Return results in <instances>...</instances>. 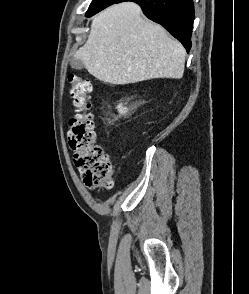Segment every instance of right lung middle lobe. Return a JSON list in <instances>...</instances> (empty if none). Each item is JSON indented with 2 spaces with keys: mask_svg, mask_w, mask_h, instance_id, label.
Here are the masks:
<instances>
[{
  "mask_svg": "<svg viewBox=\"0 0 249 294\" xmlns=\"http://www.w3.org/2000/svg\"><path fill=\"white\" fill-rule=\"evenodd\" d=\"M118 0H93L86 12V17H91L102 9L116 3Z\"/></svg>",
  "mask_w": 249,
  "mask_h": 294,
  "instance_id": "dd1d6c3e",
  "label": "right lung middle lobe"
}]
</instances>
